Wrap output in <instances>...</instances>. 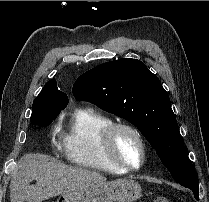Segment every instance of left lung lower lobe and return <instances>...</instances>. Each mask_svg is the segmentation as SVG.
<instances>
[{"label":"left lung lower lobe","instance_id":"obj_1","mask_svg":"<svg viewBox=\"0 0 209 202\" xmlns=\"http://www.w3.org/2000/svg\"><path fill=\"white\" fill-rule=\"evenodd\" d=\"M193 193H194L195 199L199 200V190H194Z\"/></svg>","mask_w":209,"mask_h":202}]
</instances>
